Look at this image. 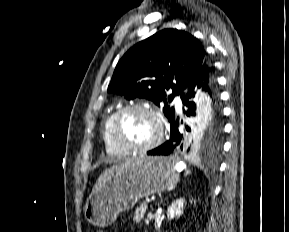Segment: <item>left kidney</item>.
Segmentation results:
<instances>
[{
    "instance_id": "1",
    "label": "left kidney",
    "mask_w": 289,
    "mask_h": 232,
    "mask_svg": "<svg viewBox=\"0 0 289 232\" xmlns=\"http://www.w3.org/2000/svg\"><path fill=\"white\" fill-rule=\"evenodd\" d=\"M184 204L183 198L176 199L167 209L168 219L179 218L183 214Z\"/></svg>"
}]
</instances>
